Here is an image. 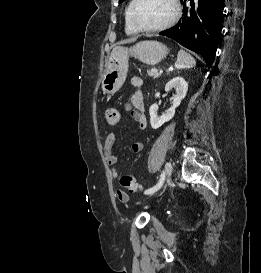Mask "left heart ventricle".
Instances as JSON below:
<instances>
[{
	"instance_id": "b2bd125f",
	"label": "left heart ventricle",
	"mask_w": 261,
	"mask_h": 273,
	"mask_svg": "<svg viewBox=\"0 0 261 273\" xmlns=\"http://www.w3.org/2000/svg\"><path fill=\"white\" fill-rule=\"evenodd\" d=\"M172 12L170 0H138L133 19L140 27H155L167 22Z\"/></svg>"
}]
</instances>
